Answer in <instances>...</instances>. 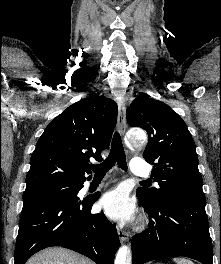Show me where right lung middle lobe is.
<instances>
[{
  "instance_id": "1",
  "label": "right lung middle lobe",
  "mask_w": 221,
  "mask_h": 264,
  "mask_svg": "<svg viewBox=\"0 0 221 264\" xmlns=\"http://www.w3.org/2000/svg\"><path fill=\"white\" fill-rule=\"evenodd\" d=\"M83 187V183L54 182L42 186L26 189L23 199L32 197H56V198H77V193Z\"/></svg>"
}]
</instances>
